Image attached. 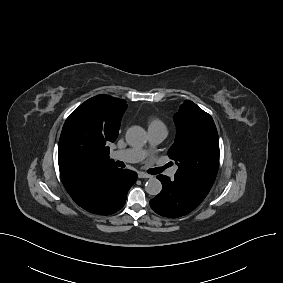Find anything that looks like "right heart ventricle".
Instances as JSON below:
<instances>
[{
  "label": "right heart ventricle",
  "instance_id": "right-heart-ventricle-1",
  "mask_svg": "<svg viewBox=\"0 0 283 283\" xmlns=\"http://www.w3.org/2000/svg\"><path fill=\"white\" fill-rule=\"evenodd\" d=\"M148 127L149 128H153V127H164L165 128V125L159 118L153 117L149 120Z\"/></svg>",
  "mask_w": 283,
  "mask_h": 283
}]
</instances>
